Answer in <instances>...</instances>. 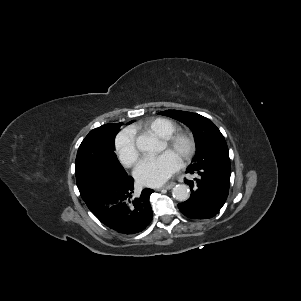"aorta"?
Wrapping results in <instances>:
<instances>
[{"mask_svg": "<svg viewBox=\"0 0 301 301\" xmlns=\"http://www.w3.org/2000/svg\"><path fill=\"white\" fill-rule=\"evenodd\" d=\"M156 141L147 135H140L136 139V146L140 151H152ZM173 197L178 201H186L190 196V191L187 185L178 184L172 189Z\"/></svg>", "mask_w": 301, "mask_h": 301, "instance_id": "aorta-1", "label": "aorta"}]
</instances>
